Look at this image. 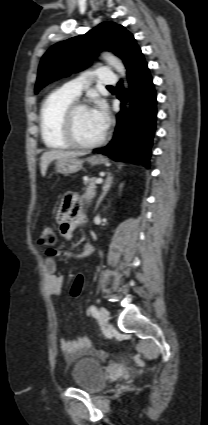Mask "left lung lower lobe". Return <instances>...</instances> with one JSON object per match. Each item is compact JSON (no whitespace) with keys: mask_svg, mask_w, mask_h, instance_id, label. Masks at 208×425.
<instances>
[{"mask_svg":"<svg viewBox=\"0 0 208 425\" xmlns=\"http://www.w3.org/2000/svg\"><path fill=\"white\" fill-rule=\"evenodd\" d=\"M127 74L131 108L125 114L126 94L120 81L117 98L122 101V111L117 115L114 137L106 147L95 149L94 152L116 161L140 163L148 168L156 125V93L143 55L132 64Z\"/></svg>","mask_w":208,"mask_h":425,"instance_id":"obj_1","label":"left lung lower lobe"}]
</instances>
